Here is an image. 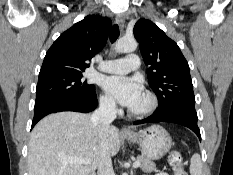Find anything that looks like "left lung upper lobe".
<instances>
[{
	"mask_svg": "<svg viewBox=\"0 0 233 175\" xmlns=\"http://www.w3.org/2000/svg\"><path fill=\"white\" fill-rule=\"evenodd\" d=\"M134 35L149 68V85L158 98L156 113L179 106H195L189 65L178 45L153 22L140 19Z\"/></svg>",
	"mask_w": 233,
	"mask_h": 175,
	"instance_id": "5c2ea615",
	"label": "left lung upper lobe"
}]
</instances>
